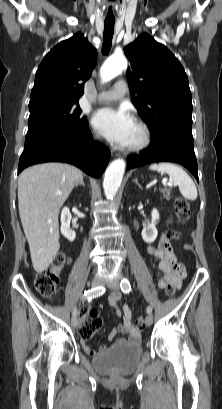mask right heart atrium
<instances>
[{"instance_id": "obj_1", "label": "right heart atrium", "mask_w": 222, "mask_h": 409, "mask_svg": "<svg viewBox=\"0 0 222 409\" xmlns=\"http://www.w3.org/2000/svg\"><path fill=\"white\" fill-rule=\"evenodd\" d=\"M93 137H94V139H96V140H99V135L97 134V133H93Z\"/></svg>"}]
</instances>
